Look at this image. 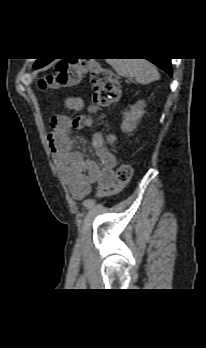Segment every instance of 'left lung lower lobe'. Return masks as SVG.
<instances>
[{
  "mask_svg": "<svg viewBox=\"0 0 206 348\" xmlns=\"http://www.w3.org/2000/svg\"><path fill=\"white\" fill-rule=\"evenodd\" d=\"M148 60L172 76L171 62L169 58H156Z\"/></svg>",
  "mask_w": 206,
  "mask_h": 348,
  "instance_id": "0a47b994",
  "label": "left lung lower lobe"
}]
</instances>
